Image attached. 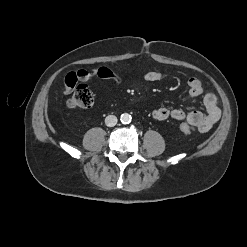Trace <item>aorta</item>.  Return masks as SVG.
Instances as JSON below:
<instances>
[{
    "label": "aorta",
    "instance_id": "762f6f07",
    "mask_svg": "<svg viewBox=\"0 0 247 247\" xmlns=\"http://www.w3.org/2000/svg\"><path fill=\"white\" fill-rule=\"evenodd\" d=\"M131 115L128 113H123L120 117V120L123 124H129L131 122Z\"/></svg>",
    "mask_w": 247,
    "mask_h": 247
}]
</instances>
